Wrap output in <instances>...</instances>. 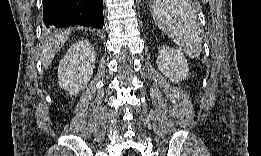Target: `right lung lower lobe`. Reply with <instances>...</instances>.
<instances>
[{"label": "right lung lower lobe", "instance_id": "obj_1", "mask_svg": "<svg viewBox=\"0 0 261 156\" xmlns=\"http://www.w3.org/2000/svg\"><path fill=\"white\" fill-rule=\"evenodd\" d=\"M43 22L46 28L88 26L103 28V0H44Z\"/></svg>", "mask_w": 261, "mask_h": 156}]
</instances>
